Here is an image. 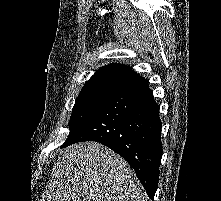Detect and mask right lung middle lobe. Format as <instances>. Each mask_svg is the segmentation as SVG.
Segmentation results:
<instances>
[{
    "mask_svg": "<svg viewBox=\"0 0 221 201\" xmlns=\"http://www.w3.org/2000/svg\"><path fill=\"white\" fill-rule=\"evenodd\" d=\"M119 89L110 87H92L82 89L78 95L69 122L70 139L82 125Z\"/></svg>",
    "mask_w": 221,
    "mask_h": 201,
    "instance_id": "dd1d6c3e",
    "label": "right lung middle lobe"
}]
</instances>
